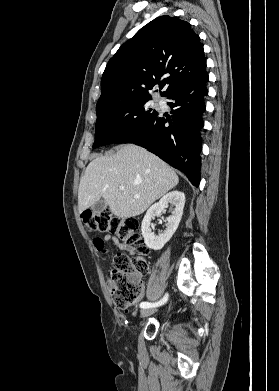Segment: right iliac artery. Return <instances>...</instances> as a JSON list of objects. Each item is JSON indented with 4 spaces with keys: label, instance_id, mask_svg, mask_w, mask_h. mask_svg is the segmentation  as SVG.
<instances>
[{
    "label": "right iliac artery",
    "instance_id": "82829eb1",
    "mask_svg": "<svg viewBox=\"0 0 279 391\" xmlns=\"http://www.w3.org/2000/svg\"><path fill=\"white\" fill-rule=\"evenodd\" d=\"M168 300V294H166L160 301L156 303L142 302L140 307L143 309L161 306Z\"/></svg>",
    "mask_w": 279,
    "mask_h": 391
}]
</instances>
